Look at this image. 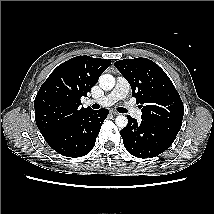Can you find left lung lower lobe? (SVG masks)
Here are the masks:
<instances>
[{"mask_svg":"<svg viewBox=\"0 0 214 214\" xmlns=\"http://www.w3.org/2000/svg\"><path fill=\"white\" fill-rule=\"evenodd\" d=\"M181 127L128 116V125L120 131L127 151L139 158L155 157L174 142Z\"/></svg>","mask_w":214,"mask_h":214,"instance_id":"0a47b994","label":"left lung lower lobe"}]
</instances>
